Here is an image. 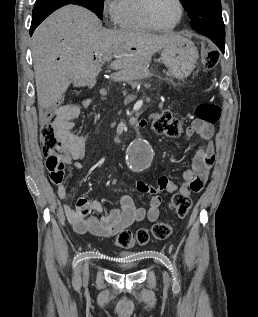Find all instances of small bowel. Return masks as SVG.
<instances>
[{"label": "small bowel", "mask_w": 258, "mask_h": 317, "mask_svg": "<svg viewBox=\"0 0 258 317\" xmlns=\"http://www.w3.org/2000/svg\"><path fill=\"white\" fill-rule=\"evenodd\" d=\"M89 103L90 101L86 99L82 101L81 105L65 103L56 109L55 123L68 156H50L46 161V166L60 199L69 196L65 166L72 164L75 169H80L86 146L85 138L74 132L71 122L79 116L81 109L87 107ZM147 125V120H142L139 123L141 128ZM195 135L199 136L203 142L194 153L191 168L183 172V183L180 186L165 174L159 177L156 185L139 181L134 190L151 195L148 207H136L131 196L123 195L120 198L119 206L106 214H102L103 206L100 202L80 197L76 199L74 204L64 206V213L73 229L79 234L90 233L103 237L115 236L133 223L156 221L159 217V208L162 202L159 195L161 191L165 190L169 193L178 191L184 195L199 192L207 182L209 170L215 162L214 147L211 141L213 136L212 124L195 119L186 128L185 137L189 139Z\"/></svg>", "instance_id": "obj_1"}]
</instances>
